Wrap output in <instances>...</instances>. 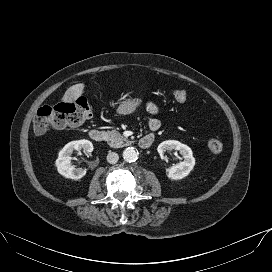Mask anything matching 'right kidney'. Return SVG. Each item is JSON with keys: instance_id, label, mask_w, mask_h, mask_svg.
I'll return each mask as SVG.
<instances>
[{"instance_id": "1", "label": "right kidney", "mask_w": 272, "mask_h": 272, "mask_svg": "<svg viewBox=\"0 0 272 272\" xmlns=\"http://www.w3.org/2000/svg\"><path fill=\"white\" fill-rule=\"evenodd\" d=\"M81 151L83 150L86 153H90L93 151V144L88 140H76L71 141L66 144L63 149L59 152V156L55 162L58 172L70 179L78 180L85 176L86 170L82 168H76L71 163V155L73 151Z\"/></svg>"}]
</instances>
